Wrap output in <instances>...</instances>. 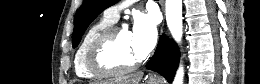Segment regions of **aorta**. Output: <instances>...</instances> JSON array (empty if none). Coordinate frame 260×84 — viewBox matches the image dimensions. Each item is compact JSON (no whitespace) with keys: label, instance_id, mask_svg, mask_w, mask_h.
Instances as JSON below:
<instances>
[{"label":"aorta","instance_id":"762f6f07","mask_svg":"<svg viewBox=\"0 0 260 84\" xmlns=\"http://www.w3.org/2000/svg\"><path fill=\"white\" fill-rule=\"evenodd\" d=\"M166 21L169 31L174 40L179 44L183 35V23H182V0H166ZM184 77V69L180 64L173 84H182Z\"/></svg>","mask_w":260,"mask_h":84}]
</instances>
